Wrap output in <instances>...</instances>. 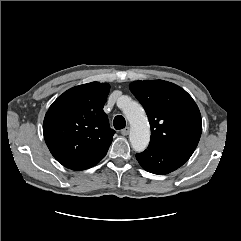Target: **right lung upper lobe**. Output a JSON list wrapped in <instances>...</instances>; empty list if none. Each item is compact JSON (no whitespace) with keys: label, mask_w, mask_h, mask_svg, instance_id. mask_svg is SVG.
<instances>
[{"label":"right lung upper lobe","mask_w":241,"mask_h":241,"mask_svg":"<svg viewBox=\"0 0 241 241\" xmlns=\"http://www.w3.org/2000/svg\"><path fill=\"white\" fill-rule=\"evenodd\" d=\"M110 85L91 82L60 95L47 111L43 134L54 158L66 168L106 155L115 131L103 111Z\"/></svg>","instance_id":"1"}]
</instances>
